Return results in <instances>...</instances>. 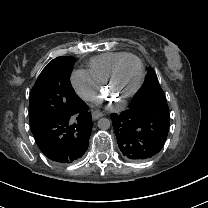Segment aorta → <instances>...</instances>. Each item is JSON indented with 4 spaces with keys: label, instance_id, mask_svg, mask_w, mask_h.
<instances>
[{
    "label": "aorta",
    "instance_id": "762f6f07",
    "mask_svg": "<svg viewBox=\"0 0 208 208\" xmlns=\"http://www.w3.org/2000/svg\"><path fill=\"white\" fill-rule=\"evenodd\" d=\"M110 125H111L110 120H108L106 118H101L97 123L98 128L101 129V130L109 129Z\"/></svg>",
    "mask_w": 208,
    "mask_h": 208
}]
</instances>
